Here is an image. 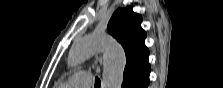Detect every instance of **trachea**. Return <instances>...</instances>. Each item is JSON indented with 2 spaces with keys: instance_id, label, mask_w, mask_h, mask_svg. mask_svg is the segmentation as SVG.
Returning <instances> with one entry per match:
<instances>
[{
  "instance_id": "trachea-1",
  "label": "trachea",
  "mask_w": 223,
  "mask_h": 88,
  "mask_svg": "<svg viewBox=\"0 0 223 88\" xmlns=\"http://www.w3.org/2000/svg\"><path fill=\"white\" fill-rule=\"evenodd\" d=\"M100 85H101V81H100L99 78L96 77V79H95V87H100Z\"/></svg>"
}]
</instances>
